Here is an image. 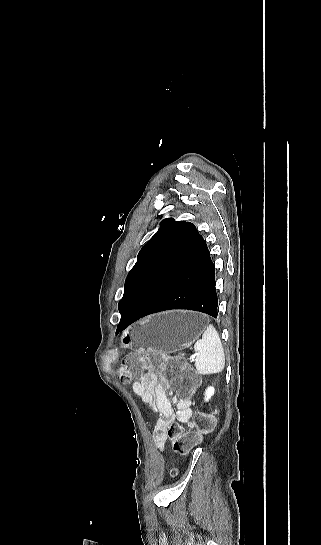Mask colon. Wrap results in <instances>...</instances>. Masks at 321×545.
<instances>
[{
	"instance_id": "obj_1",
	"label": "colon",
	"mask_w": 321,
	"mask_h": 545,
	"mask_svg": "<svg viewBox=\"0 0 321 545\" xmlns=\"http://www.w3.org/2000/svg\"><path fill=\"white\" fill-rule=\"evenodd\" d=\"M119 375L125 383L144 375L170 377L173 390L182 398H189L198 383L196 373L181 357H164L155 352L128 356L119 369ZM213 425L211 415L199 414L190 430L183 431L171 423L166 435L173 451L185 455L200 442L202 435L212 431Z\"/></svg>"
}]
</instances>
